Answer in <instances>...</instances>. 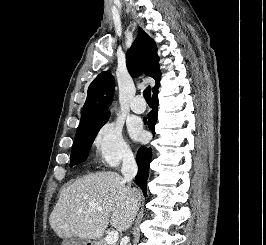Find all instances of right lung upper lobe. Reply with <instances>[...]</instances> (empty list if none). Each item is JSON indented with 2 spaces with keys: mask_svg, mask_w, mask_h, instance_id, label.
Wrapping results in <instances>:
<instances>
[{
  "mask_svg": "<svg viewBox=\"0 0 266 245\" xmlns=\"http://www.w3.org/2000/svg\"><path fill=\"white\" fill-rule=\"evenodd\" d=\"M159 57L155 42L142 28L138 30V38L128 50L126 62L132 76L145 73L155 79L153 92L158 90L161 73L158 66ZM115 87V79L110 71L100 73L88 88V95L81 113L80 124L110 115L109 108Z\"/></svg>",
  "mask_w": 266,
  "mask_h": 245,
  "instance_id": "obj_1",
  "label": "right lung upper lobe"
}]
</instances>
